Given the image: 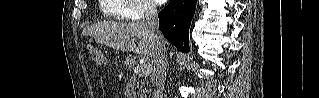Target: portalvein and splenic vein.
<instances>
[{"instance_id": "1", "label": "portal vein and splenic vein", "mask_w": 319, "mask_h": 98, "mask_svg": "<svg viewBox=\"0 0 319 98\" xmlns=\"http://www.w3.org/2000/svg\"><path fill=\"white\" fill-rule=\"evenodd\" d=\"M151 67L147 64H144L142 66H139L136 68V72L140 75H143V74H150L151 72Z\"/></svg>"}]
</instances>
